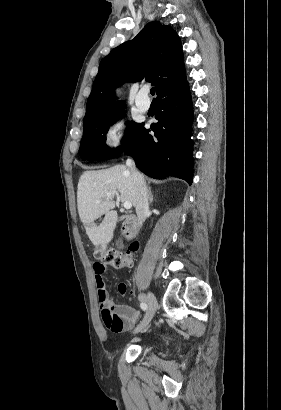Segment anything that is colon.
<instances>
[{"mask_svg":"<svg viewBox=\"0 0 281 410\" xmlns=\"http://www.w3.org/2000/svg\"><path fill=\"white\" fill-rule=\"evenodd\" d=\"M137 250L138 244L132 245L131 252L128 254H123L113 249L99 246L95 250V257L103 264L113 266L114 268H122L132 264L133 253ZM102 317L105 326L111 331L117 330L122 326V320L117 315L112 314L109 311L102 312Z\"/></svg>","mask_w":281,"mask_h":410,"instance_id":"5ec220e1","label":"colon"}]
</instances>
